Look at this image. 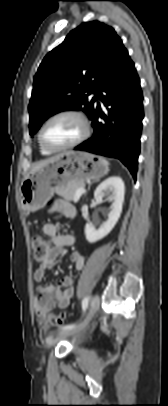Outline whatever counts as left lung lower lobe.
Returning <instances> with one entry per match:
<instances>
[{"label":"left lung lower lobe","instance_id":"obj_1","mask_svg":"<svg viewBox=\"0 0 168 406\" xmlns=\"http://www.w3.org/2000/svg\"><path fill=\"white\" fill-rule=\"evenodd\" d=\"M97 98L108 106L107 116L98 104L91 117L93 136L75 150L117 158L136 178L144 117L143 95L134 63L126 49L101 83Z\"/></svg>","mask_w":168,"mask_h":406}]
</instances>
